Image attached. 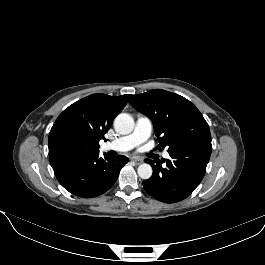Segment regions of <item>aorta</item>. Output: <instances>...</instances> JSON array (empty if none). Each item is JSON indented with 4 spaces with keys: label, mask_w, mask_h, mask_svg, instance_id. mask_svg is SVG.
Here are the masks:
<instances>
[{
    "label": "aorta",
    "mask_w": 265,
    "mask_h": 265,
    "mask_svg": "<svg viewBox=\"0 0 265 265\" xmlns=\"http://www.w3.org/2000/svg\"><path fill=\"white\" fill-rule=\"evenodd\" d=\"M134 119L127 113H120L114 120L115 129L122 135L131 133L134 129ZM138 175L142 179H149L152 176L153 169L151 165L143 163L137 169Z\"/></svg>",
    "instance_id": "1"
}]
</instances>
